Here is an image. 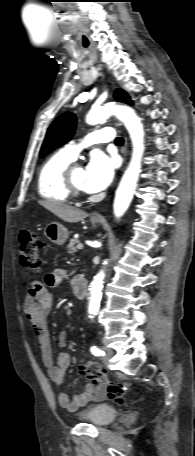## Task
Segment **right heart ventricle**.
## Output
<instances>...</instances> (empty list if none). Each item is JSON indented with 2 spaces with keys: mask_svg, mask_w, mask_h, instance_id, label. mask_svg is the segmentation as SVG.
I'll use <instances>...</instances> for the list:
<instances>
[{
  "mask_svg": "<svg viewBox=\"0 0 195 456\" xmlns=\"http://www.w3.org/2000/svg\"><path fill=\"white\" fill-rule=\"evenodd\" d=\"M72 161L63 151L53 154L45 161L38 175V192L41 197L55 202H66L70 198L64 173Z\"/></svg>",
  "mask_w": 195,
  "mask_h": 456,
  "instance_id": "e07e8e85",
  "label": "right heart ventricle"
}]
</instances>
